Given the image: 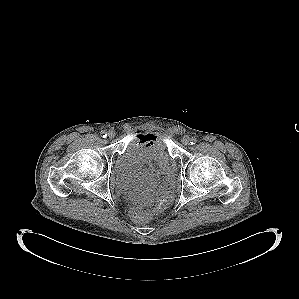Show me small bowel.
I'll use <instances>...</instances> for the list:
<instances>
[{
  "instance_id": "obj_1",
  "label": "small bowel",
  "mask_w": 299,
  "mask_h": 299,
  "mask_svg": "<svg viewBox=\"0 0 299 299\" xmlns=\"http://www.w3.org/2000/svg\"><path fill=\"white\" fill-rule=\"evenodd\" d=\"M151 137H153V135H151V134H146V135L141 136V138L144 139V140H148V139H150ZM155 178H156V174H155V172H153V171L148 172V173L144 176V179L150 181L152 184L154 183Z\"/></svg>"
}]
</instances>
